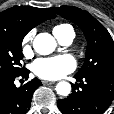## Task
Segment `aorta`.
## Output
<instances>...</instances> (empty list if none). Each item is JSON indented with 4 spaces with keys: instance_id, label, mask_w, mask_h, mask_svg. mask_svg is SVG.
Listing matches in <instances>:
<instances>
[{
    "instance_id": "obj_1",
    "label": "aorta",
    "mask_w": 114,
    "mask_h": 114,
    "mask_svg": "<svg viewBox=\"0 0 114 114\" xmlns=\"http://www.w3.org/2000/svg\"><path fill=\"white\" fill-rule=\"evenodd\" d=\"M56 41L48 33L38 34L33 41L34 50L41 55H48L54 51ZM56 91L61 96H68L71 92V85L66 81H61L56 85Z\"/></svg>"
}]
</instances>
